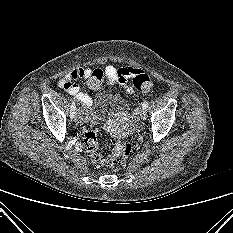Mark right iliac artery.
<instances>
[{
    "label": "right iliac artery",
    "mask_w": 233,
    "mask_h": 233,
    "mask_svg": "<svg viewBox=\"0 0 233 233\" xmlns=\"http://www.w3.org/2000/svg\"><path fill=\"white\" fill-rule=\"evenodd\" d=\"M75 113H76V105H75V102H74V100H73V101H72V105H71V109H70V117H71V118H74Z\"/></svg>",
    "instance_id": "obj_1"
}]
</instances>
